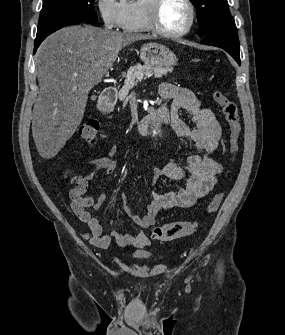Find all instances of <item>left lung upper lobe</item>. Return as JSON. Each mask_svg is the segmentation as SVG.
Segmentation results:
<instances>
[{"instance_id": "1", "label": "left lung upper lobe", "mask_w": 285, "mask_h": 335, "mask_svg": "<svg viewBox=\"0 0 285 335\" xmlns=\"http://www.w3.org/2000/svg\"><path fill=\"white\" fill-rule=\"evenodd\" d=\"M197 7L199 30L204 32L236 28L227 0H190Z\"/></svg>"}]
</instances>
